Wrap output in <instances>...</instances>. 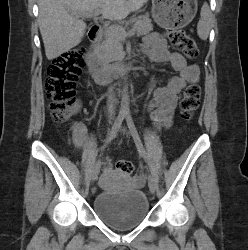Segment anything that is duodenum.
Here are the masks:
<instances>
[{
	"label": "duodenum",
	"mask_w": 248,
	"mask_h": 250,
	"mask_svg": "<svg viewBox=\"0 0 248 250\" xmlns=\"http://www.w3.org/2000/svg\"><path fill=\"white\" fill-rule=\"evenodd\" d=\"M102 25L93 24L88 30V39L91 49L86 56V65L99 84H107L115 79L124 78L131 70V65L127 61L114 64H104L94 51V46L100 42Z\"/></svg>",
	"instance_id": "obj_1"
}]
</instances>
